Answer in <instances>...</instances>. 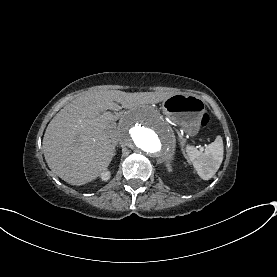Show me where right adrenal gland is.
<instances>
[{
  "instance_id": "1",
  "label": "right adrenal gland",
  "mask_w": 277,
  "mask_h": 277,
  "mask_svg": "<svg viewBox=\"0 0 277 277\" xmlns=\"http://www.w3.org/2000/svg\"><path fill=\"white\" fill-rule=\"evenodd\" d=\"M115 147H116V149H117V148H118V145L116 144Z\"/></svg>"
}]
</instances>
